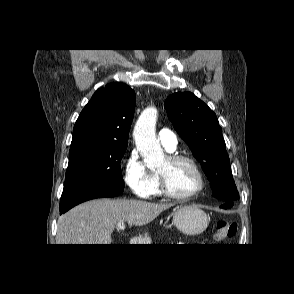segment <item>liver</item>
Returning a JSON list of instances; mask_svg holds the SVG:
<instances>
[{
	"instance_id": "6515ba94",
	"label": "liver",
	"mask_w": 294,
	"mask_h": 294,
	"mask_svg": "<svg viewBox=\"0 0 294 294\" xmlns=\"http://www.w3.org/2000/svg\"><path fill=\"white\" fill-rule=\"evenodd\" d=\"M173 204L132 199H96L82 203L58 220L57 244H111L119 222L143 226Z\"/></svg>"
}]
</instances>
